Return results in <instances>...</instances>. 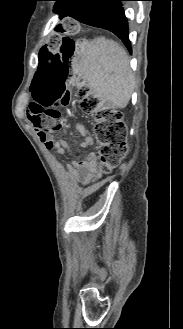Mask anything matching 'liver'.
I'll return each mask as SVG.
<instances>
[{"label":"liver","instance_id":"obj_1","mask_svg":"<svg viewBox=\"0 0 183 329\" xmlns=\"http://www.w3.org/2000/svg\"><path fill=\"white\" fill-rule=\"evenodd\" d=\"M73 67L100 106H127L134 90V76L129 57L117 42L101 36L84 43Z\"/></svg>","mask_w":183,"mask_h":329}]
</instances>
